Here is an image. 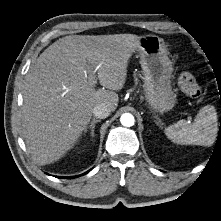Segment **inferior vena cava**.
<instances>
[{
  "label": "inferior vena cava",
  "mask_w": 221,
  "mask_h": 221,
  "mask_svg": "<svg viewBox=\"0 0 221 221\" xmlns=\"http://www.w3.org/2000/svg\"><path fill=\"white\" fill-rule=\"evenodd\" d=\"M92 113L96 118L104 119L110 115V110L104 103H102L96 105L93 108Z\"/></svg>",
  "instance_id": "602c4592"
}]
</instances>
